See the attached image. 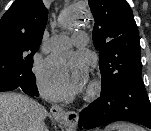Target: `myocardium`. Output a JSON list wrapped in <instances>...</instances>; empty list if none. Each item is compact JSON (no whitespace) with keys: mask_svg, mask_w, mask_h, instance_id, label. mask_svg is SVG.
<instances>
[{"mask_svg":"<svg viewBox=\"0 0 151 131\" xmlns=\"http://www.w3.org/2000/svg\"><path fill=\"white\" fill-rule=\"evenodd\" d=\"M98 91H99V84H98V82L93 81V82L90 84V86H89V88H88V90H87V95H88V96H93V95H95Z\"/></svg>","mask_w":151,"mask_h":131,"instance_id":"myocardium-1","label":"myocardium"}]
</instances>
